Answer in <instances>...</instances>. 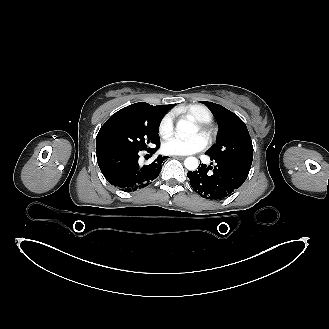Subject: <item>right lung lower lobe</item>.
<instances>
[{
  "instance_id": "98d812e1",
  "label": "right lung lower lobe",
  "mask_w": 329,
  "mask_h": 329,
  "mask_svg": "<svg viewBox=\"0 0 329 329\" xmlns=\"http://www.w3.org/2000/svg\"><path fill=\"white\" fill-rule=\"evenodd\" d=\"M156 148L146 151L154 154ZM137 149L101 147L96 149L97 162L106 180L125 192H132L150 185L161 172L164 161L168 158L159 155L151 164L139 165Z\"/></svg>"
}]
</instances>
